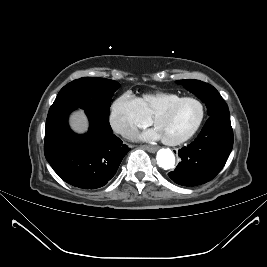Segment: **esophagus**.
Instances as JSON below:
<instances>
[{
  "mask_svg": "<svg viewBox=\"0 0 267 267\" xmlns=\"http://www.w3.org/2000/svg\"><path fill=\"white\" fill-rule=\"evenodd\" d=\"M142 147L151 153H155L158 150V147L156 146L143 145Z\"/></svg>",
  "mask_w": 267,
  "mask_h": 267,
  "instance_id": "1",
  "label": "esophagus"
}]
</instances>
